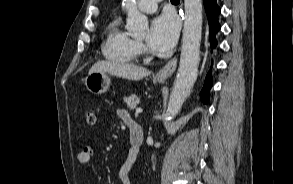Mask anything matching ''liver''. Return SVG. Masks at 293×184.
I'll list each match as a JSON object with an SVG mask.
<instances>
[{"label":"liver","mask_w":293,"mask_h":184,"mask_svg":"<svg viewBox=\"0 0 293 184\" xmlns=\"http://www.w3.org/2000/svg\"><path fill=\"white\" fill-rule=\"evenodd\" d=\"M93 72H105L134 81L141 80L150 75V71L143 67L114 61H98L89 70V73Z\"/></svg>","instance_id":"6515ba94"}]
</instances>
